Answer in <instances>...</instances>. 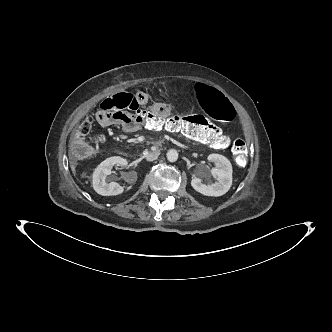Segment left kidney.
Here are the masks:
<instances>
[{
  "instance_id": "1",
  "label": "left kidney",
  "mask_w": 332,
  "mask_h": 332,
  "mask_svg": "<svg viewBox=\"0 0 332 332\" xmlns=\"http://www.w3.org/2000/svg\"><path fill=\"white\" fill-rule=\"evenodd\" d=\"M208 160L215 164L211 173L217 182L206 185L202 183L200 178L194 177L191 180V186L206 196H222L228 192L232 185V165L226 157L219 154H210Z\"/></svg>"
}]
</instances>
